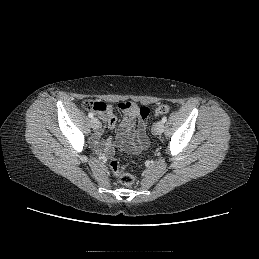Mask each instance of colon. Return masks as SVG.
<instances>
[{
    "mask_svg": "<svg viewBox=\"0 0 259 259\" xmlns=\"http://www.w3.org/2000/svg\"><path fill=\"white\" fill-rule=\"evenodd\" d=\"M105 103L103 102H93V101H87L85 103V106L87 108H91L92 110H103L105 108ZM121 106H124L123 104H120ZM119 105V106H120ZM149 109L147 107H141L140 108V115L143 118H147L149 115ZM170 112V107L168 105H160L155 109L156 115H164ZM111 170L114 174H116L119 177V182L126 187L131 186L134 183V177L132 174L123 172L122 167L120 166L119 162L117 160H112L110 163Z\"/></svg>",
    "mask_w": 259,
    "mask_h": 259,
    "instance_id": "obj_1",
    "label": "colon"
}]
</instances>
